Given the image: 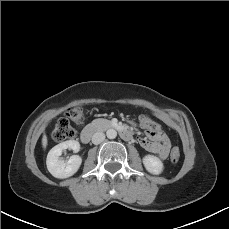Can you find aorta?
Here are the masks:
<instances>
[{"instance_id": "1", "label": "aorta", "mask_w": 229, "mask_h": 229, "mask_svg": "<svg viewBox=\"0 0 229 229\" xmlns=\"http://www.w3.org/2000/svg\"><path fill=\"white\" fill-rule=\"evenodd\" d=\"M106 135L109 139H114L117 136V131L115 129H108Z\"/></svg>"}]
</instances>
